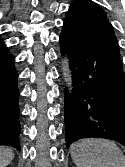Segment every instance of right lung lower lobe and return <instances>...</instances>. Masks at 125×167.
<instances>
[{
  "mask_svg": "<svg viewBox=\"0 0 125 167\" xmlns=\"http://www.w3.org/2000/svg\"><path fill=\"white\" fill-rule=\"evenodd\" d=\"M18 74L14 58L6 45L0 42V145L20 149Z\"/></svg>",
  "mask_w": 125,
  "mask_h": 167,
  "instance_id": "98d812e1",
  "label": "right lung lower lobe"
}]
</instances>
